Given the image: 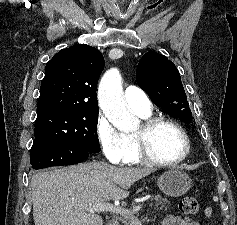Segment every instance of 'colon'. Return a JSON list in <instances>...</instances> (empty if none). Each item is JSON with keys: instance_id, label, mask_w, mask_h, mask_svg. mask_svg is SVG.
Segmentation results:
<instances>
[{"instance_id": "1", "label": "colon", "mask_w": 237, "mask_h": 225, "mask_svg": "<svg viewBox=\"0 0 237 225\" xmlns=\"http://www.w3.org/2000/svg\"><path fill=\"white\" fill-rule=\"evenodd\" d=\"M179 209L183 215H194L199 210V203L193 196H186L181 199L179 203ZM206 213L209 215L210 210L207 209Z\"/></svg>"}]
</instances>
